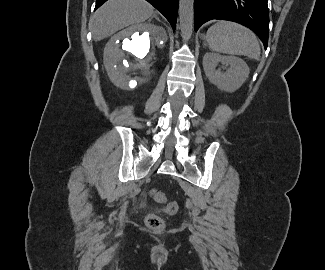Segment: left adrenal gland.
<instances>
[{
	"label": "left adrenal gland",
	"instance_id": "obj_1",
	"mask_svg": "<svg viewBox=\"0 0 325 270\" xmlns=\"http://www.w3.org/2000/svg\"><path fill=\"white\" fill-rule=\"evenodd\" d=\"M205 40H204V43H203V48H206L207 47V44H206V41Z\"/></svg>",
	"mask_w": 325,
	"mask_h": 270
}]
</instances>
